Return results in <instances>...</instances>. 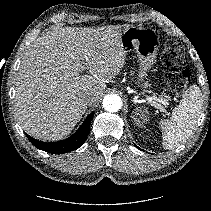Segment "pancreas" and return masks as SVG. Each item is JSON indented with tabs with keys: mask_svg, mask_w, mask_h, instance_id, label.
<instances>
[{
	"mask_svg": "<svg viewBox=\"0 0 211 211\" xmlns=\"http://www.w3.org/2000/svg\"><path fill=\"white\" fill-rule=\"evenodd\" d=\"M165 100H169V97L167 95H163Z\"/></svg>",
	"mask_w": 211,
	"mask_h": 211,
	"instance_id": "cf45deb5",
	"label": "pancreas"
}]
</instances>
